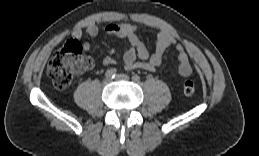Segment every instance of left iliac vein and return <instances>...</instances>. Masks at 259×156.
I'll return each instance as SVG.
<instances>
[{"mask_svg":"<svg viewBox=\"0 0 259 156\" xmlns=\"http://www.w3.org/2000/svg\"><path fill=\"white\" fill-rule=\"evenodd\" d=\"M116 80H125V81H127V80H129V77L127 75H125V74H118L116 76Z\"/></svg>","mask_w":259,"mask_h":156,"instance_id":"4c4485c4","label":"left iliac vein"}]
</instances>
